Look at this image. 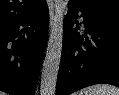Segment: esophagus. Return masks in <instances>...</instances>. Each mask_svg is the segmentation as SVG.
<instances>
[{"label": "esophagus", "mask_w": 119, "mask_h": 95, "mask_svg": "<svg viewBox=\"0 0 119 95\" xmlns=\"http://www.w3.org/2000/svg\"><path fill=\"white\" fill-rule=\"evenodd\" d=\"M47 2H48V8H49V12H50V31H51L53 24L55 22L56 16H55L53 0H48Z\"/></svg>", "instance_id": "esophagus-1"}]
</instances>
